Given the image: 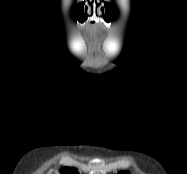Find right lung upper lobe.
I'll list each match as a JSON object with an SVG mask.
<instances>
[{"label": "right lung upper lobe", "mask_w": 187, "mask_h": 174, "mask_svg": "<svg viewBox=\"0 0 187 174\" xmlns=\"http://www.w3.org/2000/svg\"><path fill=\"white\" fill-rule=\"evenodd\" d=\"M61 174H78V172L74 168H64L61 170Z\"/></svg>", "instance_id": "right-lung-upper-lobe-1"}]
</instances>
